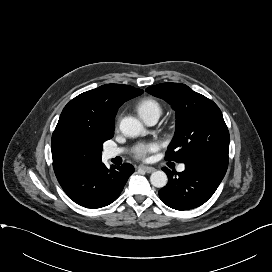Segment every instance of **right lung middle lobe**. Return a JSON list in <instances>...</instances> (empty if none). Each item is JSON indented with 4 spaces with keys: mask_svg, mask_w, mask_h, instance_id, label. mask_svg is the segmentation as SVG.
Returning a JSON list of instances; mask_svg holds the SVG:
<instances>
[{
    "mask_svg": "<svg viewBox=\"0 0 272 272\" xmlns=\"http://www.w3.org/2000/svg\"><path fill=\"white\" fill-rule=\"evenodd\" d=\"M113 137V135H110L107 138L101 139L99 141H97L94 145L95 147V151L98 153L99 156H101V152H102V148H103V142H105L108 139H111Z\"/></svg>",
    "mask_w": 272,
    "mask_h": 272,
    "instance_id": "right-lung-middle-lobe-1",
    "label": "right lung middle lobe"
}]
</instances>
